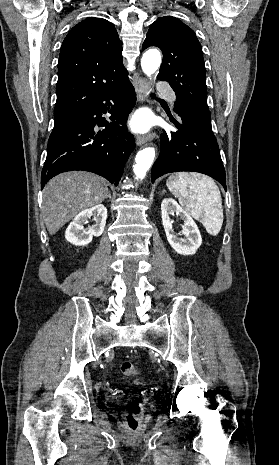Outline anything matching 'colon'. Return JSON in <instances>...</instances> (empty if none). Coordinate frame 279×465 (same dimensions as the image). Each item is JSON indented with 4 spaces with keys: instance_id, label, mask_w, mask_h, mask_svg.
<instances>
[{
    "instance_id": "5ec220e1",
    "label": "colon",
    "mask_w": 279,
    "mask_h": 465,
    "mask_svg": "<svg viewBox=\"0 0 279 465\" xmlns=\"http://www.w3.org/2000/svg\"><path fill=\"white\" fill-rule=\"evenodd\" d=\"M121 371L126 376H136L138 375L137 368L130 362L125 361L121 364ZM137 384H144L142 380H136ZM141 412V406L138 401L132 400L127 404V409L125 412V422L127 428L131 432L137 431L139 427V413Z\"/></svg>"
}]
</instances>
